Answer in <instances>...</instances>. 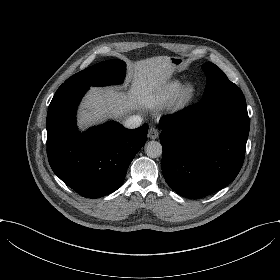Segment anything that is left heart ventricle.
Masks as SVG:
<instances>
[{
	"label": "left heart ventricle",
	"mask_w": 280,
	"mask_h": 280,
	"mask_svg": "<svg viewBox=\"0 0 280 280\" xmlns=\"http://www.w3.org/2000/svg\"><path fill=\"white\" fill-rule=\"evenodd\" d=\"M193 90H194V86L191 85V86L189 87V92H193Z\"/></svg>",
	"instance_id": "left-heart-ventricle-1"
}]
</instances>
